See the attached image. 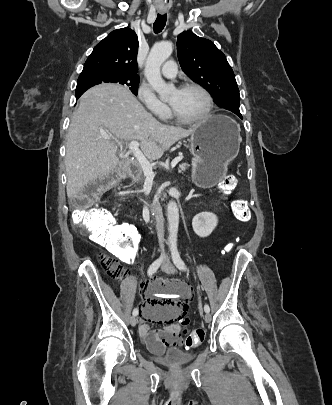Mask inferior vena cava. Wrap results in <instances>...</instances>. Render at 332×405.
<instances>
[{"mask_svg":"<svg viewBox=\"0 0 332 405\" xmlns=\"http://www.w3.org/2000/svg\"><path fill=\"white\" fill-rule=\"evenodd\" d=\"M153 212L155 213V220H156L157 227H158L159 231L161 232L163 229V222H164L162 208L159 205H157L153 209Z\"/></svg>","mask_w":332,"mask_h":405,"instance_id":"1","label":"inferior vena cava"}]
</instances>
